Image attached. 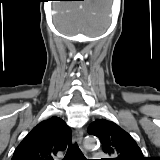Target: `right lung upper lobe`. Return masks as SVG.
<instances>
[{
	"label": "right lung upper lobe",
	"mask_w": 160,
	"mask_h": 160,
	"mask_svg": "<svg viewBox=\"0 0 160 160\" xmlns=\"http://www.w3.org/2000/svg\"><path fill=\"white\" fill-rule=\"evenodd\" d=\"M70 127L58 117L42 121L23 139L11 160H54L71 143Z\"/></svg>",
	"instance_id": "obj_1"
}]
</instances>
